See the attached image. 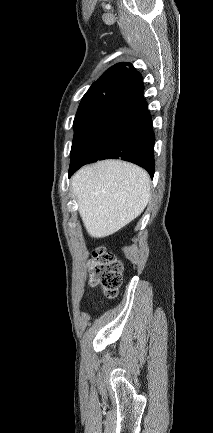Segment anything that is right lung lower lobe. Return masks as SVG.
<instances>
[{
	"label": "right lung lower lobe",
	"instance_id": "1",
	"mask_svg": "<svg viewBox=\"0 0 213 433\" xmlns=\"http://www.w3.org/2000/svg\"><path fill=\"white\" fill-rule=\"evenodd\" d=\"M140 80L119 93L88 124L71 150L69 177L81 166L102 159H122L154 175L152 119Z\"/></svg>",
	"mask_w": 213,
	"mask_h": 433
}]
</instances>
